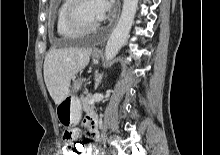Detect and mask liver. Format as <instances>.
I'll return each instance as SVG.
<instances>
[{"label":"liver","instance_id":"obj_1","mask_svg":"<svg viewBox=\"0 0 220 155\" xmlns=\"http://www.w3.org/2000/svg\"><path fill=\"white\" fill-rule=\"evenodd\" d=\"M91 49H51L44 61V80L50 96L58 105L67 95L71 79L85 68L90 60Z\"/></svg>","mask_w":220,"mask_h":155}]
</instances>
